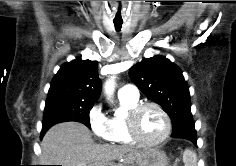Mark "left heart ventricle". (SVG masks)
I'll use <instances>...</instances> for the list:
<instances>
[{
  "mask_svg": "<svg viewBox=\"0 0 236 166\" xmlns=\"http://www.w3.org/2000/svg\"><path fill=\"white\" fill-rule=\"evenodd\" d=\"M137 128L140 137L146 142L159 140L165 131V121L154 108L145 109L139 116Z\"/></svg>",
  "mask_w": 236,
  "mask_h": 166,
  "instance_id": "left-heart-ventricle-1",
  "label": "left heart ventricle"
}]
</instances>
